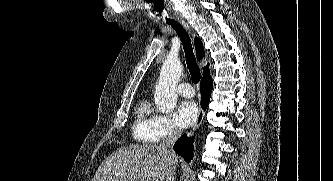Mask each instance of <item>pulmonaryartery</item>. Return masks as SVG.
Wrapping results in <instances>:
<instances>
[{"label": "pulmonary artery", "instance_id": "1", "mask_svg": "<svg viewBox=\"0 0 333 181\" xmlns=\"http://www.w3.org/2000/svg\"><path fill=\"white\" fill-rule=\"evenodd\" d=\"M177 92L180 96L185 98H190L195 95V91L189 83H181L177 88Z\"/></svg>", "mask_w": 333, "mask_h": 181}]
</instances>
